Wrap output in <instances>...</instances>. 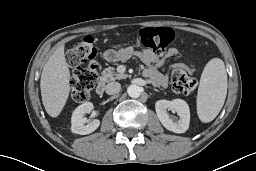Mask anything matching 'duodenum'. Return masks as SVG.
<instances>
[{
	"instance_id": "duodenum-1",
	"label": "duodenum",
	"mask_w": 256,
	"mask_h": 171,
	"mask_svg": "<svg viewBox=\"0 0 256 171\" xmlns=\"http://www.w3.org/2000/svg\"><path fill=\"white\" fill-rule=\"evenodd\" d=\"M106 89V82L104 79L100 80L96 86V93L98 95H103Z\"/></svg>"
}]
</instances>
